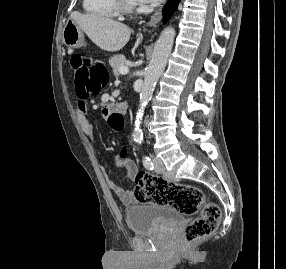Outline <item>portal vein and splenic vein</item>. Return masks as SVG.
Segmentation results:
<instances>
[{"label":"portal vein and splenic vein","mask_w":286,"mask_h":269,"mask_svg":"<svg viewBox=\"0 0 286 269\" xmlns=\"http://www.w3.org/2000/svg\"><path fill=\"white\" fill-rule=\"evenodd\" d=\"M128 72H129V67L128 66L121 67L119 69V73L122 74V75H126Z\"/></svg>","instance_id":"18ae733b"}]
</instances>
